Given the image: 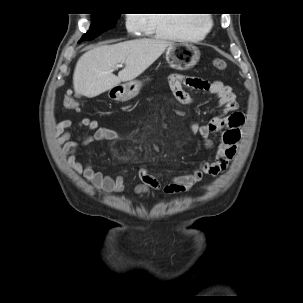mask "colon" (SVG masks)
<instances>
[{
	"instance_id": "1",
	"label": "colon",
	"mask_w": 303,
	"mask_h": 303,
	"mask_svg": "<svg viewBox=\"0 0 303 303\" xmlns=\"http://www.w3.org/2000/svg\"><path fill=\"white\" fill-rule=\"evenodd\" d=\"M213 66L218 70H225L227 68V63L224 59L216 58L213 60ZM66 105L71 109H80L79 103L71 99L66 101Z\"/></svg>"
}]
</instances>
